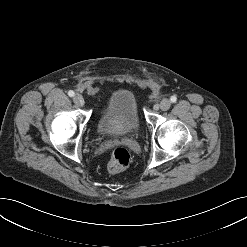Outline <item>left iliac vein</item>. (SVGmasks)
Returning <instances> with one entry per match:
<instances>
[{
    "instance_id": "left-iliac-vein-1",
    "label": "left iliac vein",
    "mask_w": 247,
    "mask_h": 247,
    "mask_svg": "<svg viewBox=\"0 0 247 247\" xmlns=\"http://www.w3.org/2000/svg\"><path fill=\"white\" fill-rule=\"evenodd\" d=\"M170 106H171V101L169 99H163L160 102V109L163 111L168 110L170 108Z\"/></svg>"
}]
</instances>
